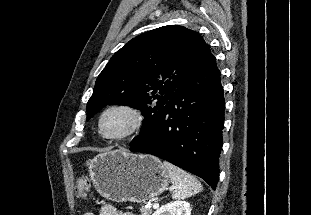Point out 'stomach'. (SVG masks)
I'll use <instances>...</instances> for the list:
<instances>
[{"mask_svg": "<svg viewBox=\"0 0 311 215\" xmlns=\"http://www.w3.org/2000/svg\"><path fill=\"white\" fill-rule=\"evenodd\" d=\"M87 166L99 194L115 202H146L162 194L169 183L162 162L151 155L113 150L97 155Z\"/></svg>", "mask_w": 311, "mask_h": 215, "instance_id": "obj_1", "label": "stomach"}]
</instances>
